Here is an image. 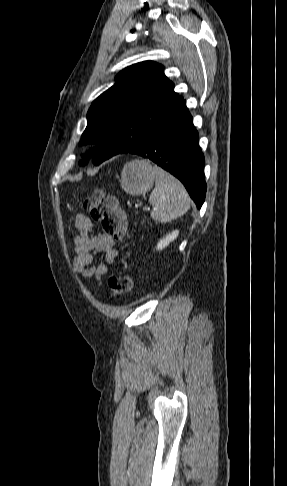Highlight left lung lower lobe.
Listing matches in <instances>:
<instances>
[{"instance_id":"obj_1","label":"left lung lower lobe","mask_w":287,"mask_h":486,"mask_svg":"<svg viewBox=\"0 0 287 486\" xmlns=\"http://www.w3.org/2000/svg\"><path fill=\"white\" fill-rule=\"evenodd\" d=\"M129 153L148 158L176 176L201 208L206 194L204 156L184 99Z\"/></svg>"}]
</instances>
